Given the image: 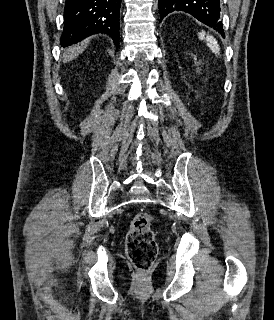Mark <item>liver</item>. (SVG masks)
Instances as JSON below:
<instances>
[{"instance_id": "1", "label": "liver", "mask_w": 274, "mask_h": 320, "mask_svg": "<svg viewBox=\"0 0 274 320\" xmlns=\"http://www.w3.org/2000/svg\"><path fill=\"white\" fill-rule=\"evenodd\" d=\"M89 42L90 38H86V40H83V42H80V44H76V46H70V48H67V50H65L63 54L64 64H67V62H71V60H74V58H77V56L83 54Z\"/></svg>"}]
</instances>
